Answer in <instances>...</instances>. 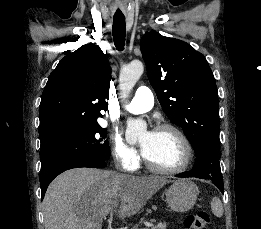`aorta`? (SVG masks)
Returning <instances> with one entry per match:
<instances>
[{
  "label": "aorta",
  "instance_id": "762f6f07",
  "mask_svg": "<svg viewBox=\"0 0 261 229\" xmlns=\"http://www.w3.org/2000/svg\"><path fill=\"white\" fill-rule=\"evenodd\" d=\"M144 66L141 60H131L126 66H122L120 70V88L123 96H127L141 74H143ZM127 135L129 137H136L138 141L144 139L147 135V125L142 119H128L127 121Z\"/></svg>",
  "mask_w": 261,
  "mask_h": 229
}]
</instances>
